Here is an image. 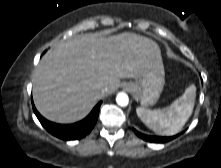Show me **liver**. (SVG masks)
<instances>
[{
	"label": "liver",
	"instance_id": "6515ba94",
	"mask_svg": "<svg viewBox=\"0 0 221 168\" xmlns=\"http://www.w3.org/2000/svg\"><path fill=\"white\" fill-rule=\"evenodd\" d=\"M154 67H163L161 51L147 37L125 32L72 38L48 51L35 68L34 103L46 119L74 123L115 92L120 79H139Z\"/></svg>",
	"mask_w": 221,
	"mask_h": 168
}]
</instances>
